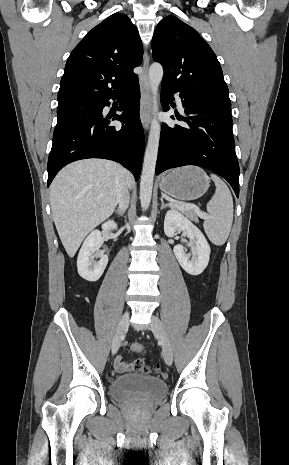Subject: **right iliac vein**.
Wrapping results in <instances>:
<instances>
[{
	"mask_svg": "<svg viewBox=\"0 0 289 465\" xmlns=\"http://www.w3.org/2000/svg\"><path fill=\"white\" fill-rule=\"evenodd\" d=\"M128 325H129V312L126 311L120 319V322L118 324V327H117V330H116V333L113 339V343H112L113 354H115L118 351L121 341L128 329Z\"/></svg>",
	"mask_w": 289,
	"mask_h": 465,
	"instance_id": "1",
	"label": "right iliac vein"
}]
</instances>
